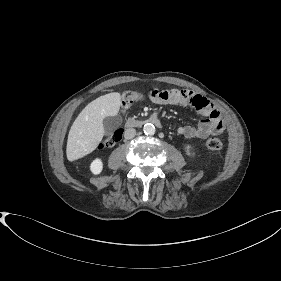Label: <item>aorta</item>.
Returning <instances> with one entry per match:
<instances>
[{
	"label": "aorta",
	"instance_id": "1",
	"mask_svg": "<svg viewBox=\"0 0 281 281\" xmlns=\"http://www.w3.org/2000/svg\"><path fill=\"white\" fill-rule=\"evenodd\" d=\"M143 131L146 135H153L155 133V126L151 123H146L143 127Z\"/></svg>",
	"mask_w": 281,
	"mask_h": 281
}]
</instances>
